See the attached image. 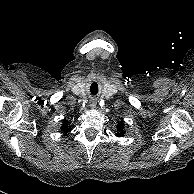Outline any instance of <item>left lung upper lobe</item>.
<instances>
[{"label": "left lung upper lobe", "mask_w": 194, "mask_h": 194, "mask_svg": "<svg viewBox=\"0 0 194 194\" xmlns=\"http://www.w3.org/2000/svg\"><path fill=\"white\" fill-rule=\"evenodd\" d=\"M117 130L119 131L118 136H123L125 131H124V123L121 122L117 125Z\"/></svg>", "instance_id": "left-lung-upper-lobe-1"}]
</instances>
